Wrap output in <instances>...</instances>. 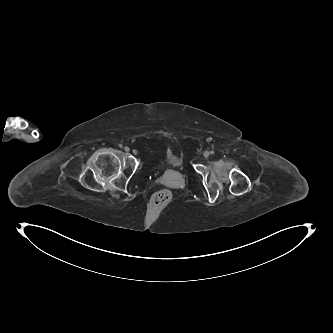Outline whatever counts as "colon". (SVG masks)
<instances>
[{"mask_svg": "<svg viewBox=\"0 0 333 333\" xmlns=\"http://www.w3.org/2000/svg\"><path fill=\"white\" fill-rule=\"evenodd\" d=\"M172 192L168 189H161L153 194L151 197L150 203L155 209H164L172 201Z\"/></svg>", "mask_w": 333, "mask_h": 333, "instance_id": "colon-1", "label": "colon"}]
</instances>
